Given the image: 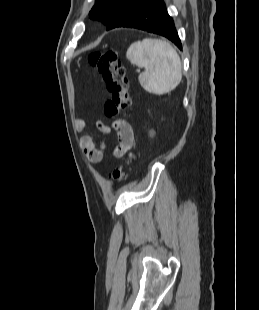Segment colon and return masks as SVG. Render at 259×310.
Segmentation results:
<instances>
[{"mask_svg": "<svg viewBox=\"0 0 259 310\" xmlns=\"http://www.w3.org/2000/svg\"><path fill=\"white\" fill-rule=\"evenodd\" d=\"M89 61L102 75L110 92V98L103 108L105 116L112 118L128 110L131 104L129 83L118 53L109 48L94 51L90 54ZM130 170L129 164H122L112 171L111 178L116 182H121Z\"/></svg>", "mask_w": 259, "mask_h": 310, "instance_id": "5ec220e1", "label": "colon"}]
</instances>
